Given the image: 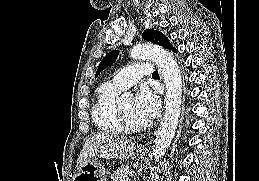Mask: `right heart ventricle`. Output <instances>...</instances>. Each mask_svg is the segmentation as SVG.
<instances>
[{"mask_svg":"<svg viewBox=\"0 0 259 181\" xmlns=\"http://www.w3.org/2000/svg\"><path fill=\"white\" fill-rule=\"evenodd\" d=\"M122 91L110 82L101 84L95 93L92 107V119L96 128L105 133H123L116 97Z\"/></svg>","mask_w":259,"mask_h":181,"instance_id":"e07e8e85","label":"right heart ventricle"}]
</instances>
